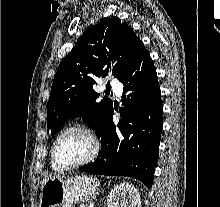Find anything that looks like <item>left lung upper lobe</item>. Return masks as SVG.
<instances>
[{"instance_id": "5c2ea615", "label": "left lung upper lobe", "mask_w": 220, "mask_h": 207, "mask_svg": "<svg viewBox=\"0 0 220 207\" xmlns=\"http://www.w3.org/2000/svg\"><path fill=\"white\" fill-rule=\"evenodd\" d=\"M141 42L118 17H104L84 32L54 76L47 103V128L52 134L81 115L96 134L99 132L112 101L104 97L96 102L95 79L109 72L118 78Z\"/></svg>"}]
</instances>
